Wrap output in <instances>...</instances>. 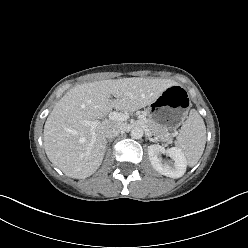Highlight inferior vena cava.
Segmentation results:
<instances>
[{"label": "inferior vena cava", "instance_id": "602c4592", "mask_svg": "<svg viewBox=\"0 0 248 248\" xmlns=\"http://www.w3.org/2000/svg\"><path fill=\"white\" fill-rule=\"evenodd\" d=\"M121 130H122V127L119 124L110 125L104 131L105 137L108 139H112V138L118 136L119 133L121 132Z\"/></svg>", "mask_w": 248, "mask_h": 248}]
</instances>
